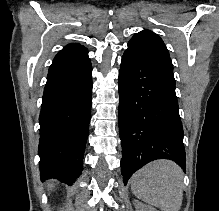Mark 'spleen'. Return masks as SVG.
Instances as JSON below:
<instances>
[{
	"label": "spleen",
	"mask_w": 219,
	"mask_h": 211,
	"mask_svg": "<svg viewBox=\"0 0 219 211\" xmlns=\"http://www.w3.org/2000/svg\"><path fill=\"white\" fill-rule=\"evenodd\" d=\"M183 171L171 159H156L147 163L131 177V189L145 203L163 211H179L182 205Z\"/></svg>",
	"instance_id": "spleen-1"
}]
</instances>
